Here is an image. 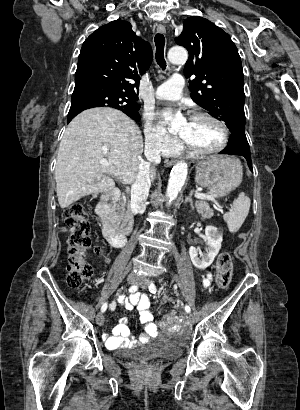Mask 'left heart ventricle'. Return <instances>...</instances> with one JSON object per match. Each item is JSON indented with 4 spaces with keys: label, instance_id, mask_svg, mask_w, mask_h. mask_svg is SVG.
I'll list each match as a JSON object with an SVG mask.
<instances>
[{
    "label": "left heart ventricle",
    "instance_id": "left-heart-ventricle-1",
    "mask_svg": "<svg viewBox=\"0 0 300 410\" xmlns=\"http://www.w3.org/2000/svg\"><path fill=\"white\" fill-rule=\"evenodd\" d=\"M179 134L200 150L216 148L223 140L220 127L208 119H192L184 123L179 129Z\"/></svg>",
    "mask_w": 300,
    "mask_h": 410
}]
</instances>
